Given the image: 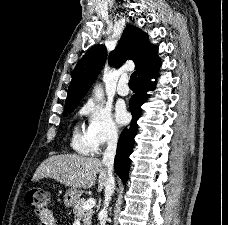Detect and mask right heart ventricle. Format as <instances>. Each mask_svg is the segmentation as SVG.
<instances>
[{"label": "right heart ventricle", "mask_w": 228, "mask_h": 225, "mask_svg": "<svg viewBox=\"0 0 228 225\" xmlns=\"http://www.w3.org/2000/svg\"><path fill=\"white\" fill-rule=\"evenodd\" d=\"M70 145L75 151L81 154H94L97 151L92 141L77 127L72 131Z\"/></svg>", "instance_id": "right-heart-ventricle-1"}]
</instances>
